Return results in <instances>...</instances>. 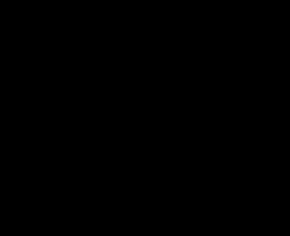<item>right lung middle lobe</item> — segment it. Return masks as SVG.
<instances>
[{"label": "right lung middle lobe", "mask_w": 290, "mask_h": 236, "mask_svg": "<svg viewBox=\"0 0 290 236\" xmlns=\"http://www.w3.org/2000/svg\"><path fill=\"white\" fill-rule=\"evenodd\" d=\"M138 57L130 45L97 46L82 52L56 81L52 108H130L124 81Z\"/></svg>", "instance_id": "obj_1"}]
</instances>
